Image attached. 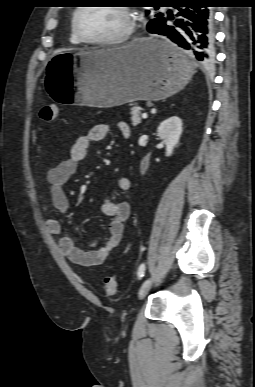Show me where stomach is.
<instances>
[{
  "label": "stomach",
  "instance_id": "1",
  "mask_svg": "<svg viewBox=\"0 0 255 387\" xmlns=\"http://www.w3.org/2000/svg\"><path fill=\"white\" fill-rule=\"evenodd\" d=\"M167 56L158 41L136 39L125 46L57 53L48 61L45 88L64 108L112 107L155 101L182 90L193 67Z\"/></svg>",
  "mask_w": 255,
  "mask_h": 387
}]
</instances>
